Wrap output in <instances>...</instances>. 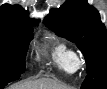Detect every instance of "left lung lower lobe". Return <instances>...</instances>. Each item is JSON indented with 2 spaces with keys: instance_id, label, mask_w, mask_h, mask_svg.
Segmentation results:
<instances>
[{
  "instance_id": "0a47b994",
  "label": "left lung lower lobe",
  "mask_w": 107,
  "mask_h": 89,
  "mask_svg": "<svg viewBox=\"0 0 107 89\" xmlns=\"http://www.w3.org/2000/svg\"><path fill=\"white\" fill-rule=\"evenodd\" d=\"M106 88H107V86H106V85H104V86L99 87V88H96V89H106Z\"/></svg>"
}]
</instances>
